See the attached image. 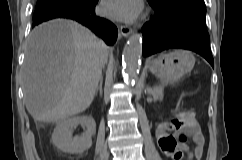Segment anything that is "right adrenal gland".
Returning <instances> with one entry per match:
<instances>
[{
  "label": "right adrenal gland",
  "instance_id": "right-adrenal-gland-1",
  "mask_svg": "<svg viewBox=\"0 0 242 160\" xmlns=\"http://www.w3.org/2000/svg\"><path fill=\"white\" fill-rule=\"evenodd\" d=\"M102 85H103V78H100V83L99 86L97 87L96 93L95 95H97L98 91H100V95H102L103 91H102Z\"/></svg>",
  "mask_w": 242,
  "mask_h": 160
}]
</instances>
